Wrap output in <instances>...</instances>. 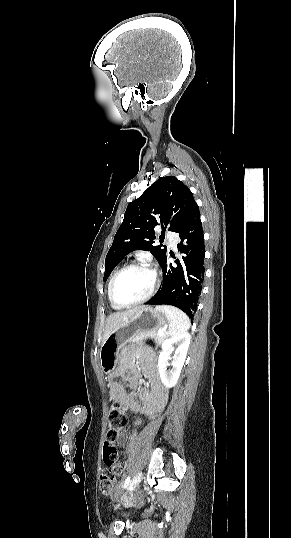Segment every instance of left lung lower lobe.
Returning <instances> with one entry per match:
<instances>
[{"label": "left lung lower lobe", "mask_w": 291, "mask_h": 538, "mask_svg": "<svg viewBox=\"0 0 291 538\" xmlns=\"http://www.w3.org/2000/svg\"><path fill=\"white\" fill-rule=\"evenodd\" d=\"M180 238L178 250L181 258L177 267L167 263V257L160 264L163 283L158 292L145 304L172 305L184 311L191 319L198 306L204 280V235L199 209L175 231Z\"/></svg>", "instance_id": "left-lung-lower-lobe-1"}]
</instances>
